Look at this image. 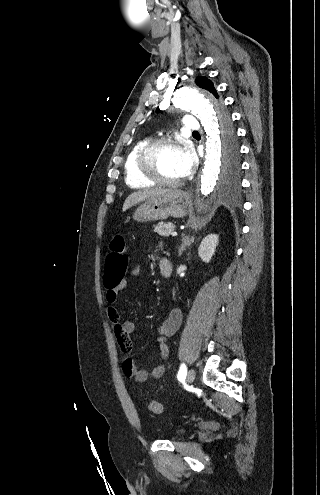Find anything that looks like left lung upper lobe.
<instances>
[{
	"instance_id": "obj_1",
	"label": "left lung upper lobe",
	"mask_w": 320,
	"mask_h": 495,
	"mask_svg": "<svg viewBox=\"0 0 320 495\" xmlns=\"http://www.w3.org/2000/svg\"><path fill=\"white\" fill-rule=\"evenodd\" d=\"M195 83L202 89H205L212 93L216 98L218 94L214 88L211 80L206 77L199 76L196 78ZM228 114L224 113L221 118L222 123V137H221V162L224 174L226 176H233L237 173L240 167L238 144L235 137V132L232 126L228 123Z\"/></svg>"
}]
</instances>
